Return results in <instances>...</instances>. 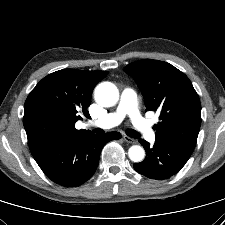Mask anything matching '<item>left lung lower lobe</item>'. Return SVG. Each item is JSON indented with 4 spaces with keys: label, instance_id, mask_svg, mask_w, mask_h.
I'll return each mask as SVG.
<instances>
[{
    "label": "left lung lower lobe",
    "instance_id": "left-lung-lower-lobe-1",
    "mask_svg": "<svg viewBox=\"0 0 225 225\" xmlns=\"http://www.w3.org/2000/svg\"><path fill=\"white\" fill-rule=\"evenodd\" d=\"M139 142L146 151V158L140 163H135L134 169L148 178L163 180L171 177L181 170L192 154L158 140L153 147L143 139Z\"/></svg>",
    "mask_w": 225,
    "mask_h": 225
}]
</instances>
